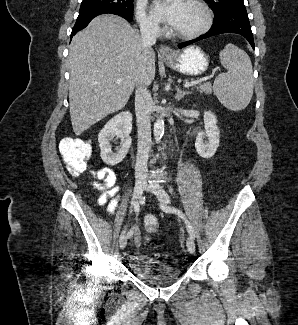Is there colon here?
<instances>
[{
    "instance_id": "5ec220e1",
    "label": "colon",
    "mask_w": 298,
    "mask_h": 325,
    "mask_svg": "<svg viewBox=\"0 0 298 325\" xmlns=\"http://www.w3.org/2000/svg\"><path fill=\"white\" fill-rule=\"evenodd\" d=\"M80 149V153L70 152L65 154L67 168L73 175H80L88 169L91 148L86 142H83ZM144 226L148 233H155L159 228L158 219L152 214L146 215L144 218Z\"/></svg>"
}]
</instances>
